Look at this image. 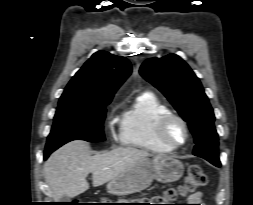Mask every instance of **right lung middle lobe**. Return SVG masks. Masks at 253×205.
Masks as SVG:
<instances>
[{
	"label": "right lung middle lobe",
	"instance_id": "dd1d6c3e",
	"mask_svg": "<svg viewBox=\"0 0 253 205\" xmlns=\"http://www.w3.org/2000/svg\"><path fill=\"white\" fill-rule=\"evenodd\" d=\"M112 99L99 103H60L45 151L56 150L63 144L80 139L89 142L105 140L103 122L106 106Z\"/></svg>",
	"mask_w": 253,
	"mask_h": 205
}]
</instances>
